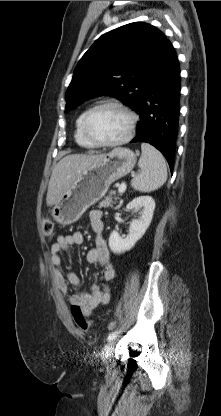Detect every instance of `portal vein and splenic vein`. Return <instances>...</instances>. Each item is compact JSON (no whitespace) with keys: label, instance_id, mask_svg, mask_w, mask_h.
Segmentation results:
<instances>
[{"label":"portal vein and splenic vein","instance_id":"obj_1","mask_svg":"<svg viewBox=\"0 0 221 416\" xmlns=\"http://www.w3.org/2000/svg\"><path fill=\"white\" fill-rule=\"evenodd\" d=\"M125 190H126V185L123 183V184H121V185L119 186V188H118V192H119L120 194H122V193H124V192H125Z\"/></svg>","mask_w":221,"mask_h":416}]
</instances>
